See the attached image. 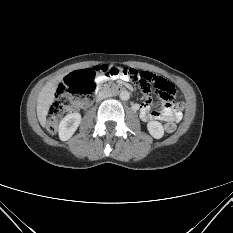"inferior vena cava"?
<instances>
[{
	"instance_id": "obj_1",
	"label": "inferior vena cava",
	"mask_w": 233,
	"mask_h": 233,
	"mask_svg": "<svg viewBox=\"0 0 233 233\" xmlns=\"http://www.w3.org/2000/svg\"><path fill=\"white\" fill-rule=\"evenodd\" d=\"M110 95H112V92H109V93H107V94H104V93L99 94L98 97H97V100H102V99H104V98H107V97L110 96Z\"/></svg>"
}]
</instances>
